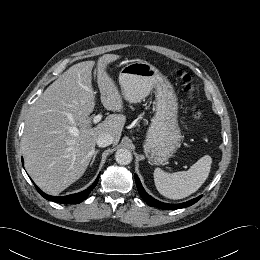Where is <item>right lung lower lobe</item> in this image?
Listing matches in <instances>:
<instances>
[{
    "instance_id": "obj_1",
    "label": "right lung lower lobe",
    "mask_w": 260,
    "mask_h": 260,
    "mask_svg": "<svg viewBox=\"0 0 260 260\" xmlns=\"http://www.w3.org/2000/svg\"><path fill=\"white\" fill-rule=\"evenodd\" d=\"M99 179V176L97 177L96 181L86 190L80 192V193H76V194H71V195H67V196H62V197H54V196H50L45 194L43 191H41L37 186L36 189L38 190V192L45 198L48 199L50 201H54V202H58V203H63V204H78L80 202H82L84 199H86V197L88 196V194L93 190V188L96 186L97 181Z\"/></svg>"
}]
</instances>
